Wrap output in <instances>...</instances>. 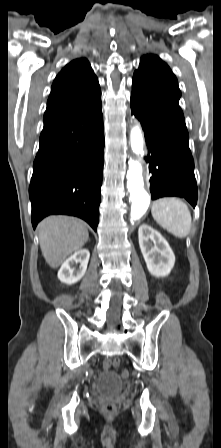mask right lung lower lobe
I'll use <instances>...</instances> for the list:
<instances>
[{
    "instance_id": "98d812e1",
    "label": "right lung lower lobe",
    "mask_w": 221,
    "mask_h": 448,
    "mask_svg": "<svg viewBox=\"0 0 221 448\" xmlns=\"http://www.w3.org/2000/svg\"><path fill=\"white\" fill-rule=\"evenodd\" d=\"M103 162L101 94L45 122L29 187L33 228L47 215L68 214L96 231Z\"/></svg>"
}]
</instances>
